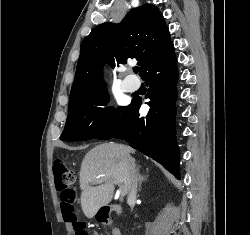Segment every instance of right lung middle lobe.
<instances>
[{
    "label": "right lung middle lobe",
    "instance_id": "right-lung-middle-lobe-1",
    "mask_svg": "<svg viewBox=\"0 0 250 235\" xmlns=\"http://www.w3.org/2000/svg\"><path fill=\"white\" fill-rule=\"evenodd\" d=\"M109 102L105 87L86 93L68 104V117L60 137L62 141H81L96 138L109 127L126 106L116 110L104 108Z\"/></svg>",
    "mask_w": 250,
    "mask_h": 235
}]
</instances>
